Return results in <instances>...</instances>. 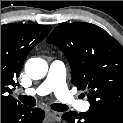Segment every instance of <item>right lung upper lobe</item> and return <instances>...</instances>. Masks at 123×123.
<instances>
[{
    "mask_svg": "<svg viewBox=\"0 0 123 123\" xmlns=\"http://www.w3.org/2000/svg\"><path fill=\"white\" fill-rule=\"evenodd\" d=\"M52 27L50 25H1V110L23 106L11 96L27 54L41 42Z\"/></svg>",
    "mask_w": 123,
    "mask_h": 123,
    "instance_id": "obj_1",
    "label": "right lung upper lobe"
}]
</instances>
